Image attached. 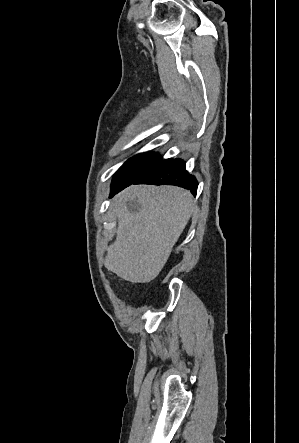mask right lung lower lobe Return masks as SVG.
Returning a JSON list of instances; mask_svg holds the SVG:
<instances>
[{"label": "right lung lower lobe", "instance_id": "obj_1", "mask_svg": "<svg viewBox=\"0 0 299 443\" xmlns=\"http://www.w3.org/2000/svg\"><path fill=\"white\" fill-rule=\"evenodd\" d=\"M130 184L176 185L190 189L193 195H196L198 186L196 178L186 171L185 163L180 159L161 160L136 180L130 183L112 186L110 197Z\"/></svg>", "mask_w": 299, "mask_h": 443}]
</instances>
